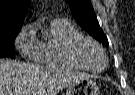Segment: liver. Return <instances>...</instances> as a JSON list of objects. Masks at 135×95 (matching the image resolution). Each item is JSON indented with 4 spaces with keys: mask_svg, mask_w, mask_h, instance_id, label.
Listing matches in <instances>:
<instances>
[{
    "mask_svg": "<svg viewBox=\"0 0 135 95\" xmlns=\"http://www.w3.org/2000/svg\"><path fill=\"white\" fill-rule=\"evenodd\" d=\"M85 74L0 59V95H56Z\"/></svg>",
    "mask_w": 135,
    "mask_h": 95,
    "instance_id": "liver-1",
    "label": "liver"
}]
</instances>
